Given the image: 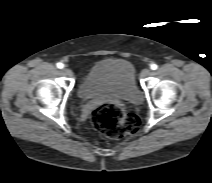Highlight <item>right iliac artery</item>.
I'll list each match as a JSON object with an SVG mask.
<instances>
[{
	"instance_id": "1",
	"label": "right iliac artery",
	"mask_w": 212,
	"mask_h": 183,
	"mask_svg": "<svg viewBox=\"0 0 212 183\" xmlns=\"http://www.w3.org/2000/svg\"><path fill=\"white\" fill-rule=\"evenodd\" d=\"M57 67L59 68V69H62L63 67H64V64H62V63H57Z\"/></svg>"
}]
</instances>
